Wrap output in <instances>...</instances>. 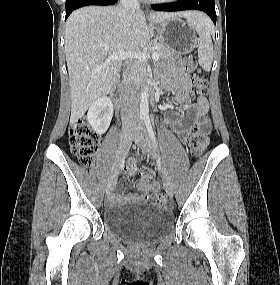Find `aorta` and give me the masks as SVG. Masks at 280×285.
Listing matches in <instances>:
<instances>
[{
    "label": "aorta",
    "instance_id": "aorta-1",
    "mask_svg": "<svg viewBox=\"0 0 280 285\" xmlns=\"http://www.w3.org/2000/svg\"><path fill=\"white\" fill-rule=\"evenodd\" d=\"M139 113L142 118H146L149 116V101H148V92L146 86H143L141 90Z\"/></svg>",
    "mask_w": 280,
    "mask_h": 285
}]
</instances>
